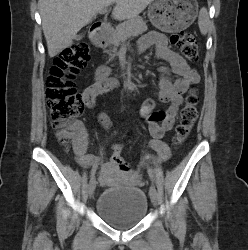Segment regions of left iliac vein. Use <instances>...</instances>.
<instances>
[{
    "label": "left iliac vein",
    "mask_w": 248,
    "mask_h": 250,
    "mask_svg": "<svg viewBox=\"0 0 248 250\" xmlns=\"http://www.w3.org/2000/svg\"><path fill=\"white\" fill-rule=\"evenodd\" d=\"M149 195H150V198H151V201L153 202L154 205L157 204L158 202V198H159V195H158V192L155 188L154 185H152L149 189Z\"/></svg>",
    "instance_id": "left-iliac-vein-1"
}]
</instances>
